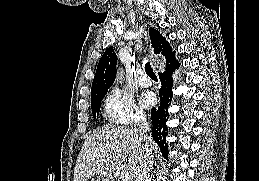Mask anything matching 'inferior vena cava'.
Listing matches in <instances>:
<instances>
[{
  "label": "inferior vena cava",
  "instance_id": "inferior-vena-cava-1",
  "mask_svg": "<svg viewBox=\"0 0 259 181\" xmlns=\"http://www.w3.org/2000/svg\"><path fill=\"white\" fill-rule=\"evenodd\" d=\"M140 132L142 134V138L145 141V149L143 154V161L141 163L140 169L137 173L135 181H149L150 171L152 170L153 166V157L151 155L148 140L149 137L147 133L150 131L149 125L146 121V118H142L140 120Z\"/></svg>",
  "mask_w": 259,
  "mask_h": 181
}]
</instances>
